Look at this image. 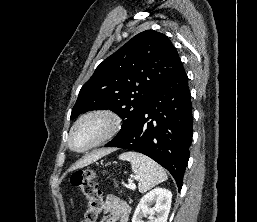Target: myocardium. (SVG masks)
I'll return each mask as SVG.
<instances>
[{"mask_svg": "<svg viewBox=\"0 0 257 222\" xmlns=\"http://www.w3.org/2000/svg\"><path fill=\"white\" fill-rule=\"evenodd\" d=\"M93 118H99L105 122L106 128H105L104 133L95 143H93L89 147L82 149V150L75 149L72 145V136H73L75 129L84 121L93 119ZM121 126H122V119H121L120 115L113 109L95 108V109L89 110V111L85 112L84 114H82L80 117H78V119L73 123V125L69 131V135H68V141H67L68 146L72 151L77 152V153L88 152V151L104 144L105 142H107L108 140H110L114 136H116L117 133L120 131Z\"/></svg>", "mask_w": 257, "mask_h": 222, "instance_id": "f54148a6", "label": "myocardium"}]
</instances>
